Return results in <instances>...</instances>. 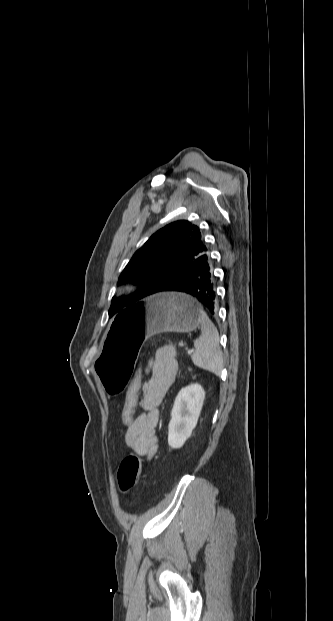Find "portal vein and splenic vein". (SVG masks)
I'll return each instance as SVG.
<instances>
[{
    "instance_id": "1",
    "label": "portal vein and splenic vein",
    "mask_w": 333,
    "mask_h": 621,
    "mask_svg": "<svg viewBox=\"0 0 333 621\" xmlns=\"http://www.w3.org/2000/svg\"><path fill=\"white\" fill-rule=\"evenodd\" d=\"M193 352V350H188V354H191Z\"/></svg>"
}]
</instances>
